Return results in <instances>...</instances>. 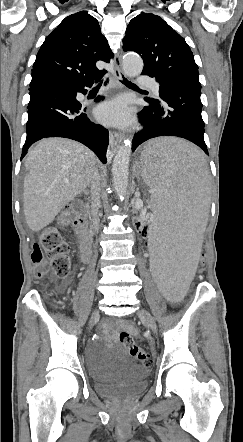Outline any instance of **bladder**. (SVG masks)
Masks as SVG:
<instances>
[{
  "instance_id": "bladder-1",
  "label": "bladder",
  "mask_w": 243,
  "mask_h": 442,
  "mask_svg": "<svg viewBox=\"0 0 243 442\" xmlns=\"http://www.w3.org/2000/svg\"><path fill=\"white\" fill-rule=\"evenodd\" d=\"M87 370L95 391L110 399L124 400L146 389L147 370L128 359L91 356Z\"/></svg>"
}]
</instances>
